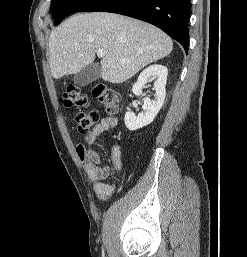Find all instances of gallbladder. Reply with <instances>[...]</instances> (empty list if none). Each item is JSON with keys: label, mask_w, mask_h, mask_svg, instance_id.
I'll use <instances>...</instances> for the list:
<instances>
[{"label": "gallbladder", "mask_w": 247, "mask_h": 257, "mask_svg": "<svg viewBox=\"0 0 247 257\" xmlns=\"http://www.w3.org/2000/svg\"><path fill=\"white\" fill-rule=\"evenodd\" d=\"M101 77V67L98 63H91L74 75L73 81L78 86H86Z\"/></svg>", "instance_id": "bac80fb5"}]
</instances>
